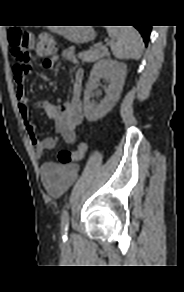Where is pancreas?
<instances>
[{
  "mask_svg": "<svg viewBox=\"0 0 184 292\" xmlns=\"http://www.w3.org/2000/svg\"><path fill=\"white\" fill-rule=\"evenodd\" d=\"M109 53L107 50L101 48H91L88 51H82L78 54V57L83 62H94L99 60L102 57L108 56Z\"/></svg>",
  "mask_w": 184,
  "mask_h": 292,
  "instance_id": "obj_1",
  "label": "pancreas"
}]
</instances>
